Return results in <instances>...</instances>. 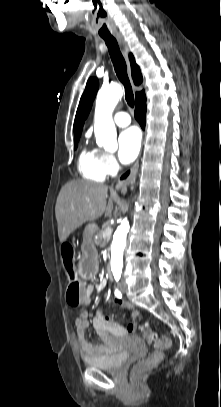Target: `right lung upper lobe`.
Masks as SVG:
<instances>
[{
	"label": "right lung upper lobe",
	"instance_id": "obj_1",
	"mask_svg": "<svg viewBox=\"0 0 221 407\" xmlns=\"http://www.w3.org/2000/svg\"><path fill=\"white\" fill-rule=\"evenodd\" d=\"M130 63H131V71H132V78L136 85H139L142 82V75L140 72V68L135 63V59L132 54L129 55ZM145 96L144 90L141 92L136 93V102L143 99ZM80 136L79 132V124H78V113L76 114L75 122H74V142H78Z\"/></svg>",
	"mask_w": 221,
	"mask_h": 407
}]
</instances>
